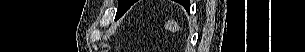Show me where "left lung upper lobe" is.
Masks as SVG:
<instances>
[{
    "mask_svg": "<svg viewBox=\"0 0 305 52\" xmlns=\"http://www.w3.org/2000/svg\"><path fill=\"white\" fill-rule=\"evenodd\" d=\"M119 7L116 13V19L120 18L134 3V0H118ZM183 6H187L188 2H180Z\"/></svg>",
    "mask_w": 305,
    "mask_h": 52,
    "instance_id": "1",
    "label": "left lung upper lobe"
}]
</instances>
